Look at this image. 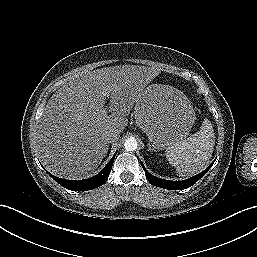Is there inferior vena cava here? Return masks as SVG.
<instances>
[{"mask_svg": "<svg viewBox=\"0 0 257 257\" xmlns=\"http://www.w3.org/2000/svg\"><path fill=\"white\" fill-rule=\"evenodd\" d=\"M103 138L107 143L115 142L119 139V134L113 131H106L103 133Z\"/></svg>", "mask_w": 257, "mask_h": 257, "instance_id": "inferior-vena-cava-1", "label": "inferior vena cava"}]
</instances>
